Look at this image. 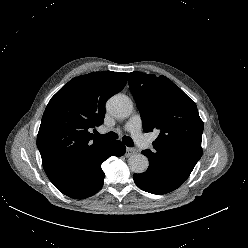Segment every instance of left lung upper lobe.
I'll return each instance as SVG.
<instances>
[{"instance_id": "1", "label": "left lung upper lobe", "mask_w": 248, "mask_h": 248, "mask_svg": "<svg viewBox=\"0 0 248 248\" xmlns=\"http://www.w3.org/2000/svg\"><path fill=\"white\" fill-rule=\"evenodd\" d=\"M129 88L141 114L145 132L158 130L154 149L144 150L149 164L183 183L202 156L204 124L196 104L171 80L131 72Z\"/></svg>"}]
</instances>
